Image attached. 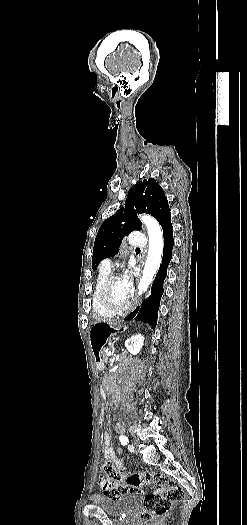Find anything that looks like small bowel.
<instances>
[{
  "instance_id": "obj_1",
  "label": "small bowel",
  "mask_w": 247,
  "mask_h": 525,
  "mask_svg": "<svg viewBox=\"0 0 247 525\" xmlns=\"http://www.w3.org/2000/svg\"><path fill=\"white\" fill-rule=\"evenodd\" d=\"M102 440L105 458L112 462L120 472H124L127 469V466L124 460L120 458L114 450L112 446L111 434L106 431L102 436ZM99 485L104 488L103 493L105 496L109 497L111 500L119 499L120 496H113L116 485L111 479L100 477Z\"/></svg>"
}]
</instances>
